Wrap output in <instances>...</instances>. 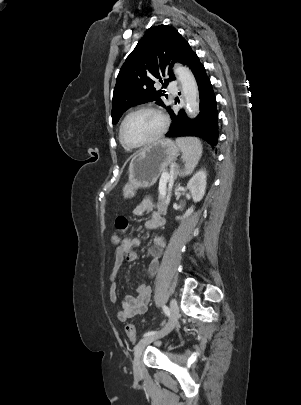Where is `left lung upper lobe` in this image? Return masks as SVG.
<instances>
[{"label":"left lung upper lobe","instance_id":"left-lung-upper-lobe-1","mask_svg":"<svg viewBox=\"0 0 301 405\" xmlns=\"http://www.w3.org/2000/svg\"><path fill=\"white\" fill-rule=\"evenodd\" d=\"M193 53L189 43L175 28L166 25L151 28L120 69L113 92L112 123L116 124L134 105L155 101L165 107L161 99L165 91L156 90L155 81L159 80L165 88L169 81L175 80L173 64H187ZM165 76L169 78L163 84L161 79Z\"/></svg>","mask_w":301,"mask_h":405}]
</instances>
